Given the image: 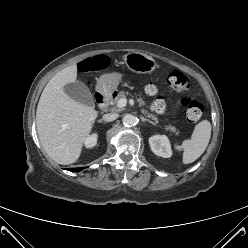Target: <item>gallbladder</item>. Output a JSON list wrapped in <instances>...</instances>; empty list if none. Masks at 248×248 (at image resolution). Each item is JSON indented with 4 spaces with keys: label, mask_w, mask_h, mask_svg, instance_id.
I'll return each instance as SVG.
<instances>
[{
    "label": "gallbladder",
    "mask_w": 248,
    "mask_h": 248,
    "mask_svg": "<svg viewBox=\"0 0 248 248\" xmlns=\"http://www.w3.org/2000/svg\"><path fill=\"white\" fill-rule=\"evenodd\" d=\"M65 93L74 101L93 106V96L87 86L81 81L66 84L64 86Z\"/></svg>",
    "instance_id": "1"
}]
</instances>
